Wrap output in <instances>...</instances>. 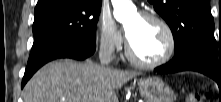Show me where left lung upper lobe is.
Masks as SVG:
<instances>
[{
  "instance_id": "5c2ea615",
  "label": "left lung upper lobe",
  "mask_w": 221,
  "mask_h": 102,
  "mask_svg": "<svg viewBox=\"0 0 221 102\" xmlns=\"http://www.w3.org/2000/svg\"><path fill=\"white\" fill-rule=\"evenodd\" d=\"M165 19L174 37L178 55L187 50H200L221 62L219 47L214 38V20L209 0H149Z\"/></svg>"
}]
</instances>
